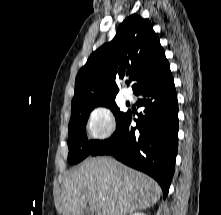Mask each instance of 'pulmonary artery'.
<instances>
[{"instance_id":"obj_1","label":"pulmonary artery","mask_w":221,"mask_h":215,"mask_svg":"<svg viewBox=\"0 0 221 215\" xmlns=\"http://www.w3.org/2000/svg\"><path fill=\"white\" fill-rule=\"evenodd\" d=\"M124 98H125V100H127V101H132L133 95H132L131 92L125 91V92H124Z\"/></svg>"}]
</instances>
